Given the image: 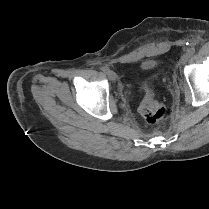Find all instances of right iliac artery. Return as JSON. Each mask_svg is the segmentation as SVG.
Wrapping results in <instances>:
<instances>
[{"label": "right iliac artery", "instance_id": "1", "mask_svg": "<svg viewBox=\"0 0 209 209\" xmlns=\"http://www.w3.org/2000/svg\"><path fill=\"white\" fill-rule=\"evenodd\" d=\"M101 70L105 73H107L109 71V69L107 67H102Z\"/></svg>", "mask_w": 209, "mask_h": 209}]
</instances>
